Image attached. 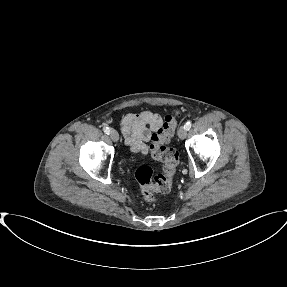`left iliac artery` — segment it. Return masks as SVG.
I'll list each match as a JSON object with an SVG mask.
<instances>
[{"instance_id": "1", "label": "left iliac artery", "mask_w": 287, "mask_h": 287, "mask_svg": "<svg viewBox=\"0 0 287 287\" xmlns=\"http://www.w3.org/2000/svg\"><path fill=\"white\" fill-rule=\"evenodd\" d=\"M184 127H185L186 130H189L191 128V122L190 121L186 122Z\"/></svg>"}]
</instances>
